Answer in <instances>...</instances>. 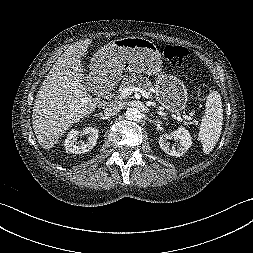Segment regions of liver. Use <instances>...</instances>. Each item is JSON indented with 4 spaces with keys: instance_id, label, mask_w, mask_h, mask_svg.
I'll list each match as a JSON object with an SVG mask.
<instances>
[{
    "instance_id": "liver-1",
    "label": "liver",
    "mask_w": 253,
    "mask_h": 253,
    "mask_svg": "<svg viewBox=\"0 0 253 253\" xmlns=\"http://www.w3.org/2000/svg\"><path fill=\"white\" fill-rule=\"evenodd\" d=\"M90 39L70 45L54 63L34 101L32 124L39 144L53 147L72 124L89 116L99 99H92L84 82L81 57Z\"/></svg>"
}]
</instances>
